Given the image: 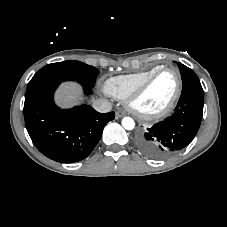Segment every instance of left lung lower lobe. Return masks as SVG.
I'll return each mask as SVG.
<instances>
[{"label":"left lung lower lobe","mask_w":227,"mask_h":227,"mask_svg":"<svg viewBox=\"0 0 227 227\" xmlns=\"http://www.w3.org/2000/svg\"><path fill=\"white\" fill-rule=\"evenodd\" d=\"M204 92L182 91L175 112L140 132L138 149L151 158H164L186 147L195 137L203 115Z\"/></svg>","instance_id":"0a47b994"}]
</instances>
